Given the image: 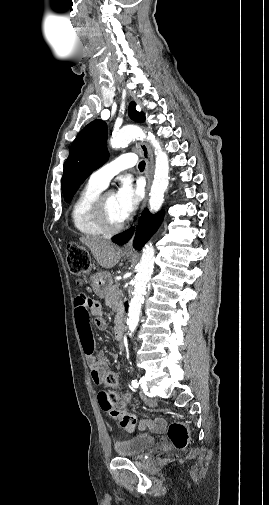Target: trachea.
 I'll return each instance as SVG.
<instances>
[{
    "mask_svg": "<svg viewBox=\"0 0 269 505\" xmlns=\"http://www.w3.org/2000/svg\"><path fill=\"white\" fill-rule=\"evenodd\" d=\"M138 167H139V169H140V170H144V168H145V162H144V161H141V162L139 163Z\"/></svg>",
    "mask_w": 269,
    "mask_h": 505,
    "instance_id": "3493384b",
    "label": "trachea"
}]
</instances>
